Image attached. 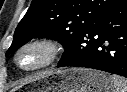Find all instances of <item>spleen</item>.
<instances>
[{
    "instance_id": "3e777b00",
    "label": "spleen",
    "mask_w": 127,
    "mask_h": 92,
    "mask_svg": "<svg viewBox=\"0 0 127 92\" xmlns=\"http://www.w3.org/2000/svg\"><path fill=\"white\" fill-rule=\"evenodd\" d=\"M114 90L113 92H127V79L113 75L111 77Z\"/></svg>"
}]
</instances>
